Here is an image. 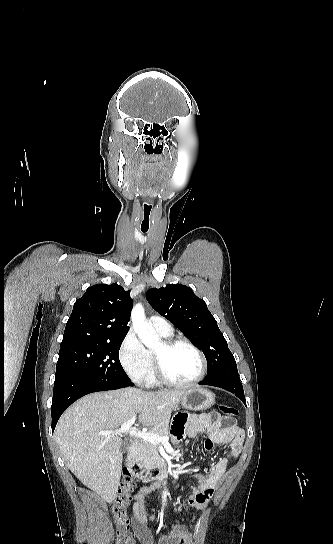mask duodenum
<instances>
[{"mask_svg":"<svg viewBox=\"0 0 333 544\" xmlns=\"http://www.w3.org/2000/svg\"><path fill=\"white\" fill-rule=\"evenodd\" d=\"M140 442L134 441L128 448L126 464L129 472L143 482L163 479L168 475L171 465L167 461H161L153 466H145L137 460Z\"/></svg>","mask_w":333,"mask_h":544,"instance_id":"1","label":"duodenum"}]
</instances>
